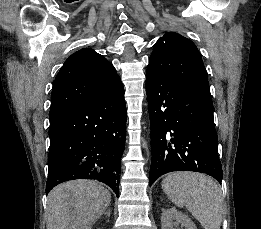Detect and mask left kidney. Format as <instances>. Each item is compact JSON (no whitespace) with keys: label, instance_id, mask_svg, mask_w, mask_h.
<instances>
[{"label":"left kidney","instance_id":"1","mask_svg":"<svg viewBox=\"0 0 261 229\" xmlns=\"http://www.w3.org/2000/svg\"><path fill=\"white\" fill-rule=\"evenodd\" d=\"M184 227V229H197L193 221L181 213V211H176L175 207L173 209H163L161 215V229H174V227Z\"/></svg>","mask_w":261,"mask_h":229}]
</instances>
